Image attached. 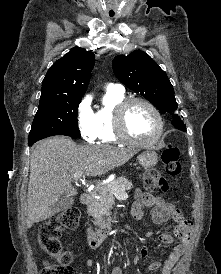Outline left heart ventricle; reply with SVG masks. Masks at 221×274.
Returning a JSON list of instances; mask_svg holds the SVG:
<instances>
[{
    "mask_svg": "<svg viewBox=\"0 0 221 274\" xmlns=\"http://www.w3.org/2000/svg\"><path fill=\"white\" fill-rule=\"evenodd\" d=\"M126 130L132 138L148 141L154 137L157 131V122L147 106L135 103L127 111Z\"/></svg>",
    "mask_w": 221,
    "mask_h": 274,
    "instance_id": "b2bd125f",
    "label": "left heart ventricle"
}]
</instances>
